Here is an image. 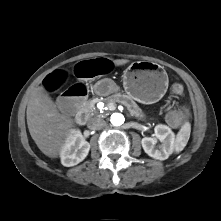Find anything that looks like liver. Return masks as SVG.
<instances>
[{"instance_id": "liver-1", "label": "liver", "mask_w": 221, "mask_h": 221, "mask_svg": "<svg viewBox=\"0 0 221 221\" xmlns=\"http://www.w3.org/2000/svg\"><path fill=\"white\" fill-rule=\"evenodd\" d=\"M128 62L127 59H117L113 64L121 66ZM26 115L29 133L38 148L46 156L57 158L74 127V120L59 113L42 86L31 93Z\"/></svg>"}]
</instances>
